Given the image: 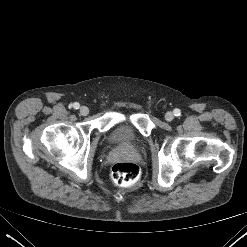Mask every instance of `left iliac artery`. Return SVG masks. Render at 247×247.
Listing matches in <instances>:
<instances>
[{
  "label": "left iliac artery",
  "instance_id": "44dca946",
  "mask_svg": "<svg viewBox=\"0 0 247 247\" xmlns=\"http://www.w3.org/2000/svg\"><path fill=\"white\" fill-rule=\"evenodd\" d=\"M180 114H181L180 109H175V110H174V115H175V116H180Z\"/></svg>",
  "mask_w": 247,
  "mask_h": 247
}]
</instances>
